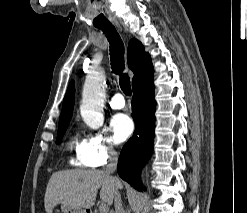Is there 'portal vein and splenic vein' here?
<instances>
[{
    "instance_id": "portal-vein-and-splenic-vein-1",
    "label": "portal vein and splenic vein",
    "mask_w": 247,
    "mask_h": 213,
    "mask_svg": "<svg viewBox=\"0 0 247 213\" xmlns=\"http://www.w3.org/2000/svg\"><path fill=\"white\" fill-rule=\"evenodd\" d=\"M100 213H108L109 207L107 204L102 203L99 207Z\"/></svg>"
}]
</instances>
